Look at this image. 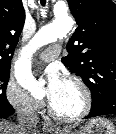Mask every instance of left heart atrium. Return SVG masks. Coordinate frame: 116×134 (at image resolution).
<instances>
[{
  "label": "left heart atrium",
  "mask_w": 116,
  "mask_h": 134,
  "mask_svg": "<svg viewBox=\"0 0 116 134\" xmlns=\"http://www.w3.org/2000/svg\"><path fill=\"white\" fill-rule=\"evenodd\" d=\"M45 79L47 100L50 104H52L62 93L65 80L54 67H50L45 71Z\"/></svg>",
  "instance_id": "1"
}]
</instances>
